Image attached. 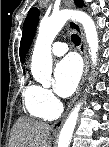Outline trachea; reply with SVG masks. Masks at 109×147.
<instances>
[{
	"label": "trachea",
	"instance_id": "trachea-1",
	"mask_svg": "<svg viewBox=\"0 0 109 147\" xmlns=\"http://www.w3.org/2000/svg\"><path fill=\"white\" fill-rule=\"evenodd\" d=\"M71 40L75 45H79L81 43V39L77 34H72Z\"/></svg>",
	"mask_w": 109,
	"mask_h": 147
}]
</instances>
